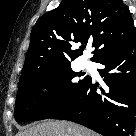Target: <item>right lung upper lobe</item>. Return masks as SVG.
<instances>
[{
  "mask_svg": "<svg viewBox=\"0 0 136 136\" xmlns=\"http://www.w3.org/2000/svg\"><path fill=\"white\" fill-rule=\"evenodd\" d=\"M136 35L129 8L122 0H65L34 25L20 79L70 64L92 43V61L102 52ZM80 43V49L74 45Z\"/></svg>",
  "mask_w": 136,
  "mask_h": 136,
  "instance_id": "obj_1",
  "label": "right lung upper lobe"
}]
</instances>
